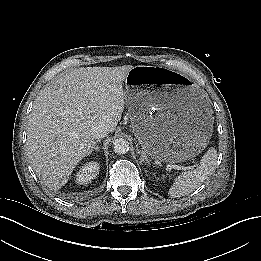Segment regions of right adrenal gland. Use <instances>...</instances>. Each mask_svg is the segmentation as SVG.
Here are the masks:
<instances>
[{"instance_id": "1", "label": "right adrenal gland", "mask_w": 261, "mask_h": 261, "mask_svg": "<svg viewBox=\"0 0 261 261\" xmlns=\"http://www.w3.org/2000/svg\"><path fill=\"white\" fill-rule=\"evenodd\" d=\"M100 143V140H97V141H95L94 142V145H93V147H92V149H91V151H90V153L92 152V151H99V149H100V147L98 146V144Z\"/></svg>"}]
</instances>
